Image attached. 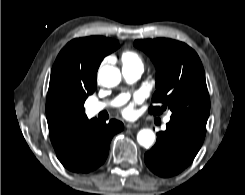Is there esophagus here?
Listing matches in <instances>:
<instances>
[{"label":"esophagus","instance_id":"obj_1","mask_svg":"<svg viewBox=\"0 0 245 195\" xmlns=\"http://www.w3.org/2000/svg\"><path fill=\"white\" fill-rule=\"evenodd\" d=\"M139 127V123H128L126 124V128L128 129H134V128H138Z\"/></svg>","mask_w":245,"mask_h":195}]
</instances>
